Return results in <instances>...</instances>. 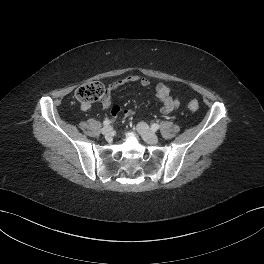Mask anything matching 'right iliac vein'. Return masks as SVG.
<instances>
[{
	"mask_svg": "<svg viewBox=\"0 0 264 264\" xmlns=\"http://www.w3.org/2000/svg\"><path fill=\"white\" fill-rule=\"evenodd\" d=\"M101 132L106 137L110 136L111 133H112V127L111 126H105V127L102 128Z\"/></svg>",
	"mask_w": 264,
	"mask_h": 264,
	"instance_id": "63e3f726",
	"label": "right iliac vein"
}]
</instances>
